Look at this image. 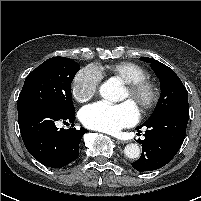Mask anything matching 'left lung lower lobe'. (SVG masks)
Returning <instances> with one entry per match:
<instances>
[{"label":"left lung lower lobe","mask_w":201,"mask_h":201,"mask_svg":"<svg viewBox=\"0 0 201 201\" xmlns=\"http://www.w3.org/2000/svg\"><path fill=\"white\" fill-rule=\"evenodd\" d=\"M189 109H172L148 121L140 158L132 166L140 171H153L166 165L179 151L186 135Z\"/></svg>","instance_id":"obj_1"}]
</instances>
